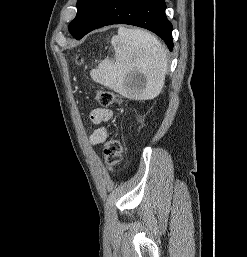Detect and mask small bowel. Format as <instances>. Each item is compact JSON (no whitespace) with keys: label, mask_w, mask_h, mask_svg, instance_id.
Segmentation results:
<instances>
[{"label":"small bowel","mask_w":247,"mask_h":257,"mask_svg":"<svg viewBox=\"0 0 247 257\" xmlns=\"http://www.w3.org/2000/svg\"><path fill=\"white\" fill-rule=\"evenodd\" d=\"M112 115H113V112L109 109L97 108L91 112L90 118L93 123L99 124L103 121L109 120L112 117ZM105 139H106V133L103 129L95 130L90 136V142L93 145L100 144Z\"/></svg>","instance_id":"small-bowel-1"}]
</instances>
